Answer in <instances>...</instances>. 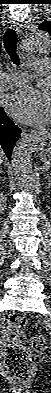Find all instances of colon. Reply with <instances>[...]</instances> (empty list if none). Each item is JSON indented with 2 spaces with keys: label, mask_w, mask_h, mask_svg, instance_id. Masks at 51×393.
Wrapping results in <instances>:
<instances>
[{
  "label": "colon",
  "mask_w": 51,
  "mask_h": 393,
  "mask_svg": "<svg viewBox=\"0 0 51 393\" xmlns=\"http://www.w3.org/2000/svg\"><path fill=\"white\" fill-rule=\"evenodd\" d=\"M28 320L23 314H12L4 329L1 344V365L9 379L17 384L26 383L35 367V358L31 351L22 345L23 330ZM31 348L36 353L45 351L47 343L42 335H35L30 340Z\"/></svg>",
  "instance_id": "colon-1"
}]
</instances>
